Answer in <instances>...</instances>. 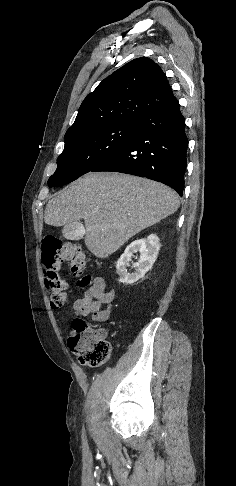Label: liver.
<instances>
[{
    "instance_id": "liver-1",
    "label": "liver",
    "mask_w": 236,
    "mask_h": 486,
    "mask_svg": "<svg viewBox=\"0 0 236 486\" xmlns=\"http://www.w3.org/2000/svg\"><path fill=\"white\" fill-rule=\"evenodd\" d=\"M180 205L171 188L116 172L88 173L53 197L44 220L63 226L84 219L85 245L104 259L143 229L172 215Z\"/></svg>"
}]
</instances>
